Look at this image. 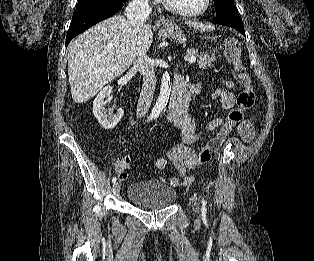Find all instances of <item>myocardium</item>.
<instances>
[{"label": "myocardium", "mask_w": 314, "mask_h": 261, "mask_svg": "<svg viewBox=\"0 0 314 261\" xmlns=\"http://www.w3.org/2000/svg\"><path fill=\"white\" fill-rule=\"evenodd\" d=\"M163 1V5L164 7L179 16H183V17H197L200 16L202 14H204L205 12L208 11V9L210 8L211 5V0H204L203 1V5L201 8L197 9V10H184V9H180L176 6H174L173 4L170 3L169 0H162Z\"/></svg>", "instance_id": "f54148a6"}]
</instances>
